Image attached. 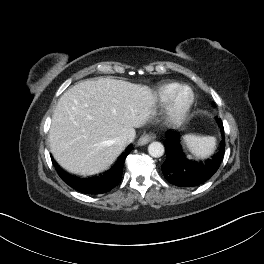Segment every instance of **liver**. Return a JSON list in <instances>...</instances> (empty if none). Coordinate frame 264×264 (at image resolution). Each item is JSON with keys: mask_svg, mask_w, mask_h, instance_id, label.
Instances as JSON below:
<instances>
[{"mask_svg": "<svg viewBox=\"0 0 264 264\" xmlns=\"http://www.w3.org/2000/svg\"><path fill=\"white\" fill-rule=\"evenodd\" d=\"M153 90L127 81H81L60 97L49 132L54 159L65 170L91 175L105 170L124 150L116 138L132 142L134 128L154 115Z\"/></svg>", "mask_w": 264, "mask_h": 264, "instance_id": "1", "label": "liver"}]
</instances>
